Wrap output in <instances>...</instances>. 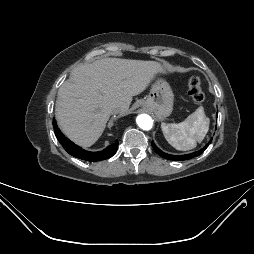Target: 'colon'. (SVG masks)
Returning a JSON list of instances; mask_svg holds the SVG:
<instances>
[{"instance_id":"obj_1","label":"colon","mask_w":254,"mask_h":254,"mask_svg":"<svg viewBox=\"0 0 254 254\" xmlns=\"http://www.w3.org/2000/svg\"><path fill=\"white\" fill-rule=\"evenodd\" d=\"M188 93L196 103H202L205 100V94L201 87V80L198 76H193L188 82Z\"/></svg>"}]
</instances>
